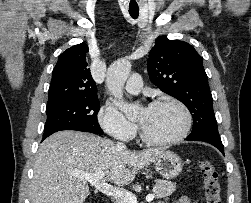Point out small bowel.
<instances>
[{
    "label": "small bowel",
    "mask_w": 251,
    "mask_h": 203,
    "mask_svg": "<svg viewBox=\"0 0 251 203\" xmlns=\"http://www.w3.org/2000/svg\"><path fill=\"white\" fill-rule=\"evenodd\" d=\"M164 203V202H161ZM173 203H192V201L188 197H181Z\"/></svg>",
    "instance_id": "c3829d8e"
}]
</instances>
